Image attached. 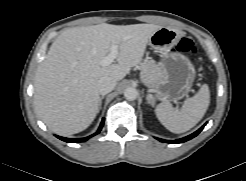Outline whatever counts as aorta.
Masks as SVG:
<instances>
[{"instance_id":"obj_1","label":"aorta","mask_w":246,"mask_h":181,"mask_svg":"<svg viewBox=\"0 0 246 181\" xmlns=\"http://www.w3.org/2000/svg\"><path fill=\"white\" fill-rule=\"evenodd\" d=\"M124 97L128 101H133L138 97V91L134 87H128L124 90Z\"/></svg>"}]
</instances>
